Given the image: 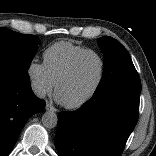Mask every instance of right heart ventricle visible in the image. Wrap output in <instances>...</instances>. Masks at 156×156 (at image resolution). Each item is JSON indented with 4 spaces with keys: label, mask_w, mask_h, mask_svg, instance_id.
<instances>
[{
    "label": "right heart ventricle",
    "mask_w": 156,
    "mask_h": 156,
    "mask_svg": "<svg viewBox=\"0 0 156 156\" xmlns=\"http://www.w3.org/2000/svg\"><path fill=\"white\" fill-rule=\"evenodd\" d=\"M80 45L68 41H60L49 46L44 54V65L54 83L68 68L71 61L81 52L87 50Z\"/></svg>",
    "instance_id": "e07e8e85"
}]
</instances>
